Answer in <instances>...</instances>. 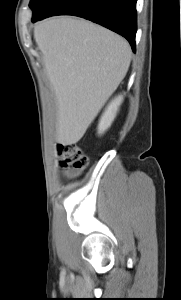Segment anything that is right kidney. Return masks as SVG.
<instances>
[{
	"instance_id": "1",
	"label": "right kidney",
	"mask_w": 181,
	"mask_h": 300,
	"mask_svg": "<svg viewBox=\"0 0 181 300\" xmlns=\"http://www.w3.org/2000/svg\"><path fill=\"white\" fill-rule=\"evenodd\" d=\"M122 101L123 95H118L108 104L98 124L99 135H102L111 126L112 122L114 121L117 115Z\"/></svg>"
}]
</instances>
